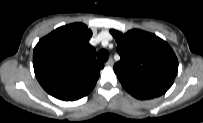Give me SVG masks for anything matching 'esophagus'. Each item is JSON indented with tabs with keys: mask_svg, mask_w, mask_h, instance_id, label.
<instances>
[{
	"mask_svg": "<svg viewBox=\"0 0 203 123\" xmlns=\"http://www.w3.org/2000/svg\"><path fill=\"white\" fill-rule=\"evenodd\" d=\"M113 64H114V61H113L112 58H110V59L105 63V65H107V66H113Z\"/></svg>",
	"mask_w": 203,
	"mask_h": 123,
	"instance_id": "1",
	"label": "esophagus"
}]
</instances>
